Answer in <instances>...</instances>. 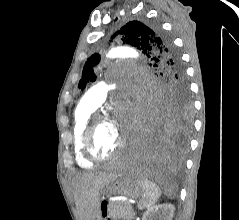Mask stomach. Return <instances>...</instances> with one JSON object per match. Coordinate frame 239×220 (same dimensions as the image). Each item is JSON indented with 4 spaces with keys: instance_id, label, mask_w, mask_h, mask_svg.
<instances>
[{
    "instance_id": "obj_1",
    "label": "stomach",
    "mask_w": 239,
    "mask_h": 220,
    "mask_svg": "<svg viewBox=\"0 0 239 220\" xmlns=\"http://www.w3.org/2000/svg\"><path fill=\"white\" fill-rule=\"evenodd\" d=\"M104 191L113 195H122L129 198H137L143 191L133 178H115L106 187ZM106 213V202L101 200L98 217H103Z\"/></svg>"
}]
</instances>
